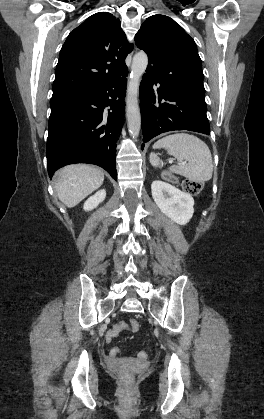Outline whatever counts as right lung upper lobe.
<instances>
[{
	"instance_id": "right-lung-upper-lobe-1",
	"label": "right lung upper lobe",
	"mask_w": 264,
	"mask_h": 419,
	"mask_svg": "<svg viewBox=\"0 0 264 419\" xmlns=\"http://www.w3.org/2000/svg\"><path fill=\"white\" fill-rule=\"evenodd\" d=\"M119 19L108 12L90 16L67 37L61 48L52 96L99 88L127 69L133 49Z\"/></svg>"
}]
</instances>
